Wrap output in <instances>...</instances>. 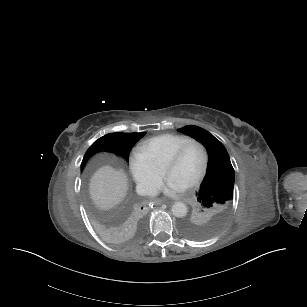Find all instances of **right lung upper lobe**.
<instances>
[{
    "instance_id": "right-lung-upper-lobe-1",
    "label": "right lung upper lobe",
    "mask_w": 307,
    "mask_h": 307,
    "mask_svg": "<svg viewBox=\"0 0 307 307\" xmlns=\"http://www.w3.org/2000/svg\"><path fill=\"white\" fill-rule=\"evenodd\" d=\"M145 218V209L139 204H130L121 209L104 214L102 223L108 228L134 227L140 225Z\"/></svg>"
}]
</instances>
